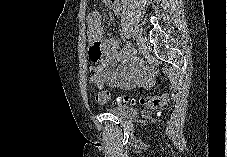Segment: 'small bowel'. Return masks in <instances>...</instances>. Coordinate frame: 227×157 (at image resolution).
Instances as JSON below:
<instances>
[{"label": "small bowel", "instance_id": "1", "mask_svg": "<svg viewBox=\"0 0 227 157\" xmlns=\"http://www.w3.org/2000/svg\"><path fill=\"white\" fill-rule=\"evenodd\" d=\"M109 4L111 6L110 0ZM117 4L120 10L118 1ZM87 25L90 40L88 58L91 62H101L99 65L101 73L91 78L96 85L106 84L114 88H130L139 84H149L152 81L153 70L140 64L130 45L119 50L114 40L104 38L99 12L92 11L88 15Z\"/></svg>", "mask_w": 227, "mask_h": 157}]
</instances>
